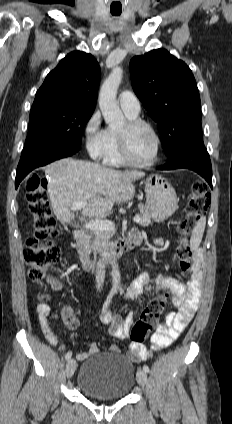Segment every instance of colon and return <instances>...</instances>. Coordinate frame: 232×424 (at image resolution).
I'll return each instance as SVG.
<instances>
[{
  "mask_svg": "<svg viewBox=\"0 0 232 424\" xmlns=\"http://www.w3.org/2000/svg\"><path fill=\"white\" fill-rule=\"evenodd\" d=\"M46 180L40 175H32L26 184V199L34 222V233L27 239L23 257L28 267L30 280L41 285L59 259V250L53 239L59 235L56 221L46 195ZM210 203L206 187L196 181L192 185L190 201L184 218L179 225L181 237L176 255L179 268L182 271L190 269L193 250L190 246L189 235L196 226L200 216L207 210ZM42 300L47 299L45 293L40 294ZM172 292L166 290L154 297L142 311L134 324L131 333L132 344H143L150 333L156 328L158 320L164 311Z\"/></svg>",
  "mask_w": 232,
  "mask_h": 424,
  "instance_id": "colon-1",
  "label": "colon"
}]
</instances>
